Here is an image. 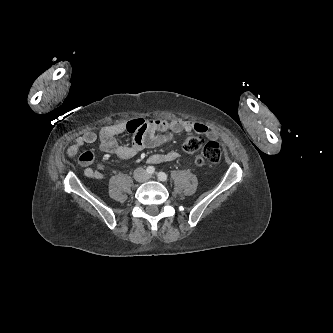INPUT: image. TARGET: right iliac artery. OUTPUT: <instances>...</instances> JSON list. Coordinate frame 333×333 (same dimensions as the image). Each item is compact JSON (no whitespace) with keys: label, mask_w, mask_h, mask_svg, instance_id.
Listing matches in <instances>:
<instances>
[{"label":"right iliac artery","mask_w":333,"mask_h":333,"mask_svg":"<svg viewBox=\"0 0 333 333\" xmlns=\"http://www.w3.org/2000/svg\"><path fill=\"white\" fill-rule=\"evenodd\" d=\"M146 171L148 174H153L155 172V168L153 166H149L147 167Z\"/></svg>","instance_id":"obj_1"}]
</instances>
